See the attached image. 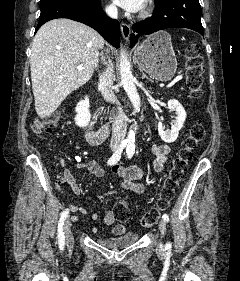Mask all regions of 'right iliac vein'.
I'll return each instance as SVG.
<instances>
[{"label":"right iliac vein","mask_w":240,"mask_h":281,"mask_svg":"<svg viewBox=\"0 0 240 281\" xmlns=\"http://www.w3.org/2000/svg\"><path fill=\"white\" fill-rule=\"evenodd\" d=\"M64 234H65V240H66L67 246H71L73 244L74 239H73V235L71 232V221L69 218L65 221V224H64Z\"/></svg>","instance_id":"1"}]
</instances>
